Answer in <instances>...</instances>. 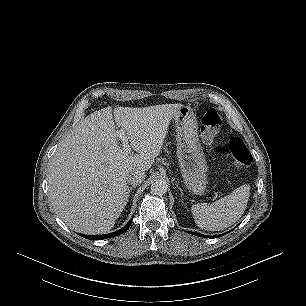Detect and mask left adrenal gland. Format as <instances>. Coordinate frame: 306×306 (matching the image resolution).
Returning <instances> with one entry per match:
<instances>
[{"label":"left adrenal gland","instance_id":"left-adrenal-gland-1","mask_svg":"<svg viewBox=\"0 0 306 306\" xmlns=\"http://www.w3.org/2000/svg\"><path fill=\"white\" fill-rule=\"evenodd\" d=\"M177 188L180 189L181 195L183 194L182 189L180 187H178V184H176Z\"/></svg>","mask_w":306,"mask_h":306}]
</instances>
